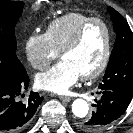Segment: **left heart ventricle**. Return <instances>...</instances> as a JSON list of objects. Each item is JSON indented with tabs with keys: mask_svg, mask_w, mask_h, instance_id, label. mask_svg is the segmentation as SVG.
Masks as SVG:
<instances>
[{
	"mask_svg": "<svg viewBox=\"0 0 133 133\" xmlns=\"http://www.w3.org/2000/svg\"><path fill=\"white\" fill-rule=\"evenodd\" d=\"M106 44V33L99 24L91 25L80 44L62 57L71 62L82 75L92 72L102 60Z\"/></svg>",
	"mask_w": 133,
	"mask_h": 133,
	"instance_id": "left-heart-ventricle-1",
	"label": "left heart ventricle"
}]
</instances>
